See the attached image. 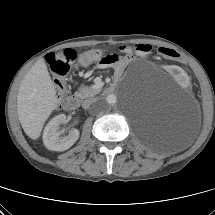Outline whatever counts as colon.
<instances>
[{
    "mask_svg": "<svg viewBox=\"0 0 215 215\" xmlns=\"http://www.w3.org/2000/svg\"><path fill=\"white\" fill-rule=\"evenodd\" d=\"M160 57L163 59L171 60V61H179L180 54L167 47H159L157 50ZM101 53L97 50H89L80 55V61L83 64H88L91 61L99 58ZM78 54L73 49H65L59 53H50L47 55L46 60L49 64L53 74H54V83L57 90L58 98L61 99L67 89L66 84V74L69 71L70 65L76 61ZM181 61V60H180ZM183 63L187 62L186 58L182 59ZM188 68V66H187Z\"/></svg>",
    "mask_w": 215,
    "mask_h": 215,
    "instance_id": "obj_1",
    "label": "colon"
}]
</instances>
